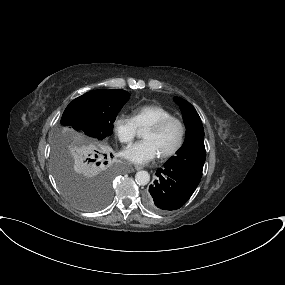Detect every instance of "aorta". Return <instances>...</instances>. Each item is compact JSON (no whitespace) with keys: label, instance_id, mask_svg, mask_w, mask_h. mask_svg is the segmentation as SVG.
I'll use <instances>...</instances> for the list:
<instances>
[{"label":"aorta","instance_id":"1","mask_svg":"<svg viewBox=\"0 0 285 285\" xmlns=\"http://www.w3.org/2000/svg\"><path fill=\"white\" fill-rule=\"evenodd\" d=\"M135 181L138 185H147L150 181V175L147 171H138L135 175Z\"/></svg>","mask_w":285,"mask_h":285}]
</instances>
